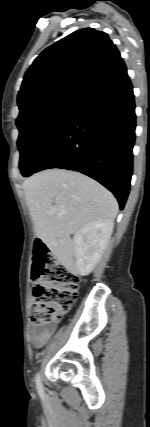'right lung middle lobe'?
Here are the masks:
<instances>
[{
  "mask_svg": "<svg viewBox=\"0 0 150 427\" xmlns=\"http://www.w3.org/2000/svg\"><path fill=\"white\" fill-rule=\"evenodd\" d=\"M78 106L58 104L36 108L16 120L20 131L19 167L23 176L34 173L73 119Z\"/></svg>",
  "mask_w": 150,
  "mask_h": 427,
  "instance_id": "right-lung-middle-lobe-1",
  "label": "right lung middle lobe"
}]
</instances>
